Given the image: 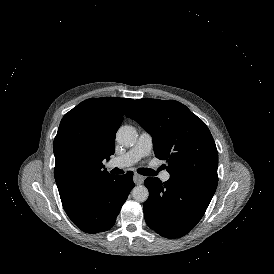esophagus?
<instances>
[{"label": "esophagus", "instance_id": "34e87169", "mask_svg": "<svg viewBox=\"0 0 274 274\" xmlns=\"http://www.w3.org/2000/svg\"><path fill=\"white\" fill-rule=\"evenodd\" d=\"M144 179H145V178H144L143 176H141V175H139V174H137V173H135L134 176H133V181H134V183H135L136 185L142 184L143 181H144Z\"/></svg>", "mask_w": 274, "mask_h": 274}]
</instances>
